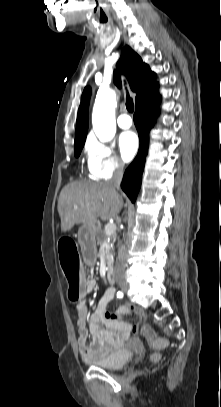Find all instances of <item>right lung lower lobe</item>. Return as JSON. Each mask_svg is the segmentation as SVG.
Returning <instances> with one entry per match:
<instances>
[{
    "label": "right lung lower lobe",
    "mask_w": 221,
    "mask_h": 407,
    "mask_svg": "<svg viewBox=\"0 0 221 407\" xmlns=\"http://www.w3.org/2000/svg\"><path fill=\"white\" fill-rule=\"evenodd\" d=\"M160 100L161 96L156 92L153 96L136 106L134 123L138 131L140 146L136 158L126 169L121 183L122 189L132 202H135L141 187L142 173L148 152L149 131L153 127L156 116L159 113L158 106Z\"/></svg>",
    "instance_id": "98d812e1"
}]
</instances>
